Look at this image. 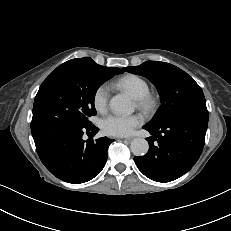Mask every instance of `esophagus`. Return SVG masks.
Here are the masks:
<instances>
[{"label":"esophagus","mask_w":231,"mask_h":231,"mask_svg":"<svg viewBox=\"0 0 231 231\" xmlns=\"http://www.w3.org/2000/svg\"><path fill=\"white\" fill-rule=\"evenodd\" d=\"M121 140H124V141H131L132 140V138H120Z\"/></svg>","instance_id":"esophagus-1"}]
</instances>
